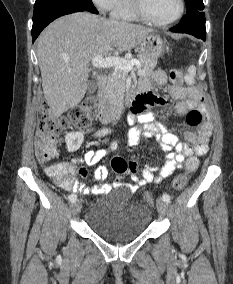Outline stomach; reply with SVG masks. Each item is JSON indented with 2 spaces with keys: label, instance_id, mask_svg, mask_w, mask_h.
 <instances>
[{
  "label": "stomach",
  "instance_id": "stomach-1",
  "mask_svg": "<svg viewBox=\"0 0 233 284\" xmlns=\"http://www.w3.org/2000/svg\"><path fill=\"white\" fill-rule=\"evenodd\" d=\"M141 55L152 61L157 59L164 53L166 43L158 34H147L139 44Z\"/></svg>",
  "mask_w": 233,
  "mask_h": 284
}]
</instances>
